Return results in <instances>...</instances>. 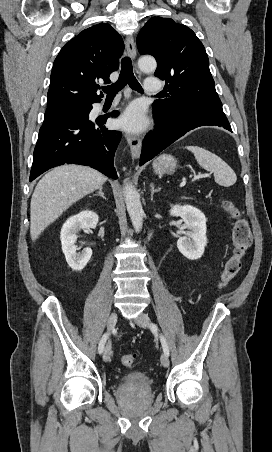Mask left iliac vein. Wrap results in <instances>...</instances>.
<instances>
[{
	"label": "left iliac vein",
	"mask_w": 272,
	"mask_h": 452,
	"mask_svg": "<svg viewBox=\"0 0 272 452\" xmlns=\"http://www.w3.org/2000/svg\"><path fill=\"white\" fill-rule=\"evenodd\" d=\"M135 323L141 327L149 328L150 327V318L147 314L141 313L135 320ZM160 361L163 367L169 366V358L168 356L163 353L160 357Z\"/></svg>",
	"instance_id": "obj_1"
}]
</instances>
